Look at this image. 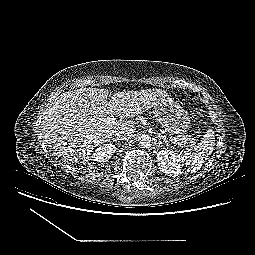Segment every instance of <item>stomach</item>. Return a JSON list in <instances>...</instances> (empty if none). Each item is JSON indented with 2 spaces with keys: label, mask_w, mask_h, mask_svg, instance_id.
Segmentation results:
<instances>
[{
  "label": "stomach",
  "mask_w": 255,
  "mask_h": 255,
  "mask_svg": "<svg viewBox=\"0 0 255 255\" xmlns=\"http://www.w3.org/2000/svg\"><path fill=\"white\" fill-rule=\"evenodd\" d=\"M154 114L166 131L182 135L190 127V117L174 99L164 97L154 106Z\"/></svg>",
  "instance_id": "stomach-1"
}]
</instances>
